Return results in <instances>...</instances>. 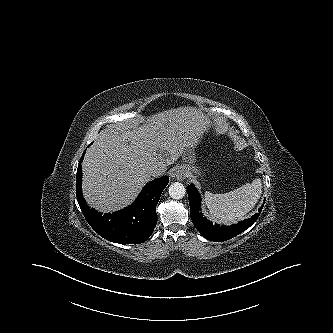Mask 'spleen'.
I'll use <instances>...</instances> for the list:
<instances>
[{
  "instance_id": "3e777b00",
  "label": "spleen",
  "mask_w": 333,
  "mask_h": 333,
  "mask_svg": "<svg viewBox=\"0 0 333 333\" xmlns=\"http://www.w3.org/2000/svg\"><path fill=\"white\" fill-rule=\"evenodd\" d=\"M262 193L261 179L224 194L205 192V203L209 212L222 222L242 220L258 202Z\"/></svg>"
}]
</instances>
